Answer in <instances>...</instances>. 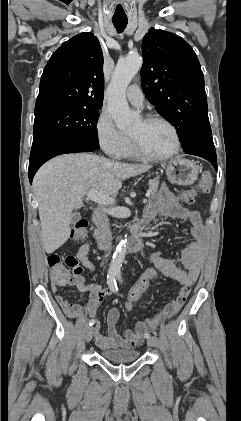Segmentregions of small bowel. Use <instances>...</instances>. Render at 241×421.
<instances>
[{
    "label": "small bowel",
    "instance_id": "small-bowel-1",
    "mask_svg": "<svg viewBox=\"0 0 241 421\" xmlns=\"http://www.w3.org/2000/svg\"><path fill=\"white\" fill-rule=\"evenodd\" d=\"M160 215L189 221L193 240L180 251L177 258H167L159 252L148 254L145 257L165 277L181 285L176 298L169 302L155 318L138 321L134 330L123 329L118 331L116 325L120 313L117 307H112L106 316L107 334L103 335L100 332L101 322L96 318V312L104 298L109 295V291L97 284L87 283L85 277L81 274L74 277L72 281L53 284V291L56 293L55 298L68 317L74 319L87 314L95 320L94 339L97 346L103 350L134 349L138 347L145 335L153 330L158 323L175 316L180 311L190 294L193 283L200 274L207 246V230L199 212L181 205L170 189L164 186L150 200L146 208L147 218L152 219ZM89 249L88 244H83L77 250L75 257L86 268L88 274H92L95 271V266L88 258ZM68 284H73L79 291L88 294V301L84 305L70 303L57 293L59 286Z\"/></svg>",
    "mask_w": 241,
    "mask_h": 421
}]
</instances>
